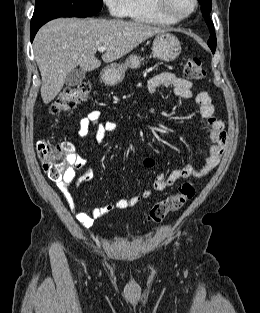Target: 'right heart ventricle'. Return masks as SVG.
Returning a JSON list of instances; mask_svg holds the SVG:
<instances>
[{
  "mask_svg": "<svg viewBox=\"0 0 260 313\" xmlns=\"http://www.w3.org/2000/svg\"><path fill=\"white\" fill-rule=\"evenodd\" d=\"M131 20L138 23L153 25H170L171 22L163 19L154 9L153 0H128L127 14Z\"/></svg>",
  "mask_w": 260,
  "mask_h": 313,
  "instance_id": "e07e8e85",
  "label": "right heart ventricle"
}]
</instances>
